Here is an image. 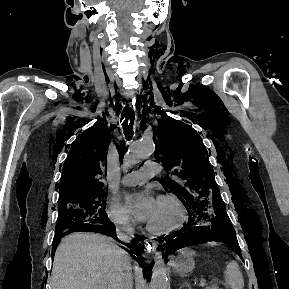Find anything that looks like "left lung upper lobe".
<instances>
[{
  "mask_svg": "<svg viewBox=\"0 0 289 289\" xmlns=\"http://www.w3.org/2000/svg\"><path fill=\"white\" fill-rule=\"evenodd\" d=\"M160 114L164 119L159 121L158 128H153L154 156L162 161L165 170L174 169L176 177L173 180L167 175L163 184L177 195L191 215L197 214L196 207L202 205L204 212L214 217V205L223 201L201 137L189 125L167 117L163 111ZM219 235L226 237L224 232Z\"/></svg>",
  "mask_w": 289,
  "mask_h": 289,
  "instance_id": "5c2ea615",
  "label": "left lung upper lobe"
}]
</instances>
